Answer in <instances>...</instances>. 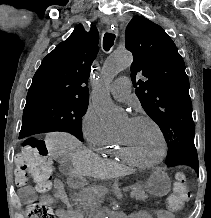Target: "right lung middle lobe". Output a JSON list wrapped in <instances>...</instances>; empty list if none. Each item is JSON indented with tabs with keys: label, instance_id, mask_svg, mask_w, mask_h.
<instances>
[{
	"label": "right lung middle lobe",
	"instance_id": "obj_1",
	"mask_svg": "<svg viewBox=\"0 0 211 218\" xmlns=\"http://www.w3.org/2000/svg\"><path fill=\"white\" fill-rule=\"evenodd\" d=\"M87 107L88 102L68 99L28 102L23 112L21 135L65 131L83 140L81 118Z\"/></svg>",
	"mask_w": 211,
	"mask_h": 218
}]
</instances>
